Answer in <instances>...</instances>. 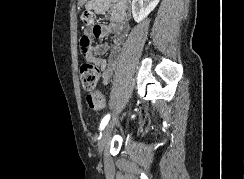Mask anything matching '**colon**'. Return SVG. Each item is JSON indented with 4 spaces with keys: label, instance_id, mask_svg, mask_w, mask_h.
Returning a JSON list of instances; mask_svg holds the SVG:
<instances>
[{
    "label": "colon",
    "instance_id": "colon-1",
    "mask_svg": "<svg viewBox=\"0 0 244 179\" xmlns=\"http://www.w3.org/2000/svg\"><path fill=\"white\" fill-rule=\"evenodd\" d=\"M99 71L91 63L84 62L80 66V80L82 86L87 91L86 102L89 109L93 111H102L105 108L106 101L102 92L97 90Z\"/></svg>",
    "mask_w": 244,
    "mask_h": 179
}]
</instances>
